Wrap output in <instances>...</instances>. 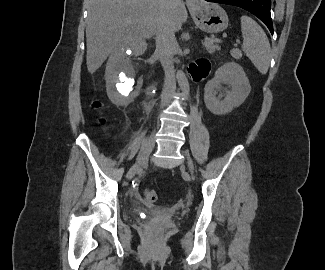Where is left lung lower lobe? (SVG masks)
<instances>
[{"label":"left lung lower lobe","instance_id":"obj_1","mask_svg":"<svg viewBox=\"0 0 325 270\" xmlns=\"http://www.w3.org/2000/svg\"><path fill=\"white\" fill-rule=\"evenodd\" d=\"M214 3L228 4L241 7L263 21L273 34V24L271 19V0H206Z\"/></svg>","mask_w":325,"mask_h":270}]
</instances>
